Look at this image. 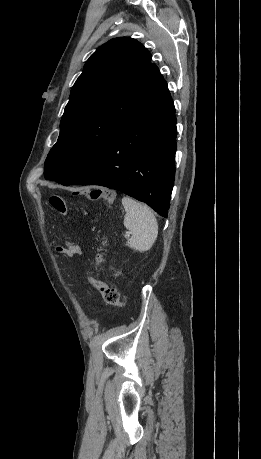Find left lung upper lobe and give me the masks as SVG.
I'll return each mask as SVG.
<instances>
[{"instance_id":"obj_1","label":"left lung upper lobe","mask_w":261,"mask_h":459,"mask_svg":"<svg viewBox=\"0 0 261 459\" xmlns=\"http://www.w3.org/2000/svg\"><path fill=\"white\" fill-rule=\"evenodd\" d=\"M163 81L137 40L120 37L99 47L71 90L45 178L62 183L91 162Z\"/></svg>"}]
</instances>
